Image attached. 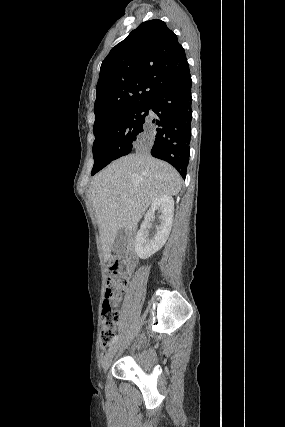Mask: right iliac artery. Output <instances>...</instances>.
Wrapping results in <instances>:
<instances>
[{"instance_id": "obj_1", "label": "right iliac artery", "mask_w": 285, "mask_h": 427, "mask_svg": "<svg viewBox=\"0 0 285 427\" xmlns=\"http://www.w3.org/2000/svg\"><path fill=\"white\" fill-rule=\"evenodd\" d=\"M118 335L114 336L110 342V344H113L114 342H116L118 340Z\"/></svg>"}]
</instances>
